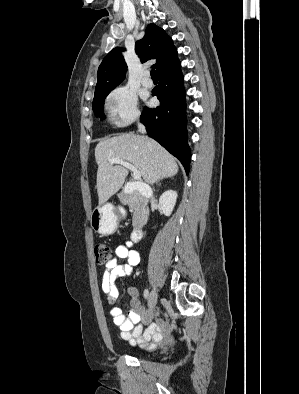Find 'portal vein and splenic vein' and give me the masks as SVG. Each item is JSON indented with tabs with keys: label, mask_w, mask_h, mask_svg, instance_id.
<instances>
[{
	"label": "portal vein and splenic vein",
	"mask_w": 299,
	"mask_h": 394,
	"mask_svg": "<svg viewBox=\"0 0 299 394\" xmlns=\"http://www.w3.org/2000/svg\"><path fill=\"white\" fill-rule=\"evenodd\" d=\"M109 163H111V164H121V165H123L124 167H126L127 169H129L130 171L133 172L134 180L139 181L141 179L140 172L131 163H129L127 161H124L122 159H119V158H111V159H109Z\"/></svg>",
	"instance_id": "18ae733b"
}]
</instances>
